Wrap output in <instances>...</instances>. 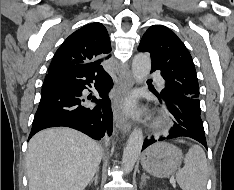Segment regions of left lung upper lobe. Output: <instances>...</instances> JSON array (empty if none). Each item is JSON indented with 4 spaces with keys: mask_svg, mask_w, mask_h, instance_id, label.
Here are the masks:
<instances>
[{
    "mask_svg": "<svg viewBox=\"0 0 234 190\" xmlns=\"http://www.w3.org/2000/svg\"><path fill=\"white\" fill-rule=\"evenodd\" d=\"M138 50L151 54L152 65L161 71L166 81L163 90L201 114L192 57L176 34L165 26L153 25L144 33Z\"/></svg>",
    "mask_w": 234,
    "mask_h": 190,
    "instance_id": "5c2ea615",
    "label": "left lung upper lobe"
}]
</instances>
